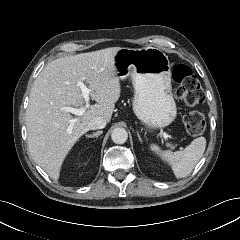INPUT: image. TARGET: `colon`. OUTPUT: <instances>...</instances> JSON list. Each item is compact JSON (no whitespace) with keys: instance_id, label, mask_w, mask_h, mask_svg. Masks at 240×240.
<instances>
[{"instance_id":"obj_1","label":"colon","mask_w":240,"mask_h":240,"mask_svg":"<svg viewBox=\"0 0 240 240\" xmlns=\"http://www.w3.org/2000/svg\"><path fill=\"white\" fill-rule=\"evenodd\" d=\"M172 79L177 85L176 95L187 106H197L204 101V92L199 80L190 67L179 64L172 70ZM183 122L187 132L192 136L200 135L206 127L205 117L197 111L188 112Z\"/></svg>"}]
</instances>
